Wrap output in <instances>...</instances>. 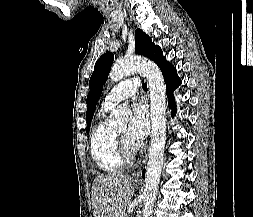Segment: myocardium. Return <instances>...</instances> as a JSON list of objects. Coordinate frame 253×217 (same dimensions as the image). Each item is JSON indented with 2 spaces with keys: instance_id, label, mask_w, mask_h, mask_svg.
I'll return each mask as SVG.
<instances>
[{
  "instance_id": "f54148a6",
  "label": "myocardium",
  "mask_w": 253,
  "mask_h": 217,
  "mask_svg": "<svg viewBox=\"0 0 253 217\" xmlns=\"http://www.w3.org/2000/svg\"><path fill=\"white\" fill-rule=\"evenodd\" d=\"M115 143L118 153L125 160L131 159L137 152L138 147L118 132H115Z\"/></svg>"
}]
</instances>
